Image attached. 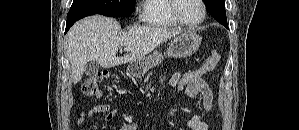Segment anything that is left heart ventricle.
Returning <instances> with one entry per match:
<instances>
[{"label": "left heart ventricle", "instance_id": "1", "mask_svg": "<svg viewBox=\"0 0 299 130\" xmlns=\"http://www.w3.org/2000/svg\"><path fill=\"white\" fill-rule=\"evenodd\" d=\"M177 11L183 20L190 23L197 22L202 16V8L198 0H178Z\"/></svg>", "mask_w": 299, "mask_h": 130}]
</instances>
